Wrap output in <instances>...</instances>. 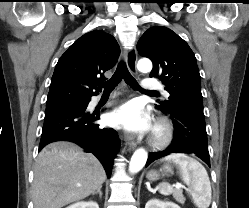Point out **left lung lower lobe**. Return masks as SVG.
<instances>
[{"mask_svg":"<svg viewBox=\"0 0 249 208\" xmlns=\"http://www.w3.org/2000/svg\"><path fill=\"white\" fill-rule=\"evenodd\" d=\"M168 114L174 123L172 143L163 151L151 152L146 166L172 153H194L210 167L203 112L178 106Z\"/></svg>","mask_w":249,"mask_h":208,"instance_id":"left-lung-lower-lobe-1","label":"left lung lower lobe"}]
</instances>
